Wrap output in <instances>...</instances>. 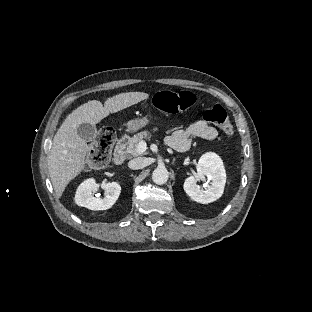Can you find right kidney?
<instances>
[{"instance_id": "ca27d5eb", "label": "right kidney", "mask_w": 312, "mask_h": 312, "mask_svg": "<svg viewBox=\"0 0 312 312\" xmlns=\"http://www.w3.org/2000/svg\"><path fill=\"white\" fill-rule=\"evenodd\" d=\"M105 191L104 198L94 197L98 189ZM121 186L114 181L95 183L93 179L84 181L75 195V202L78 206L86 207L91 210H108L119 198Z\"/></svg>"}]
</instances>
